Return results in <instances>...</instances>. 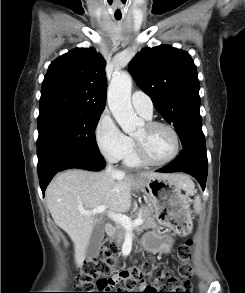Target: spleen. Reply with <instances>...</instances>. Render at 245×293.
<instances>
[{"mask_svg":"<svg viewBox=\"0 0 245 293\" xmlns=\"http://www.w3.org/2000/svg\"><path fill=\"white\" fill-rule=\"evenodd\" d=\"M194 208L196 212H199L201 209V198L200 196H196L194 200Z\"/></svg>","mask_w":245,"mask_h":293,"instance_id":"spleen-1","label":"spleen"}]
</instances>
